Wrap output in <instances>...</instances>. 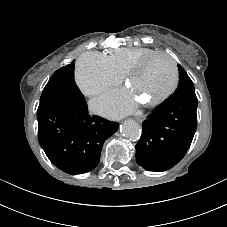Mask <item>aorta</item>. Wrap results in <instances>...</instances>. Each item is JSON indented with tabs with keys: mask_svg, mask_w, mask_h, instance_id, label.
<instances>
[{
	"mask_svg": "<svg viewBox=\"0 0 227 227\" xmlns=\"http://www.w3.org/2000/svg\"><path fill=\"white\" fill-rule=\"evenodd\" d=\"M121 132L126 138L133 141L138 140L141 136L139 124L132 119H127L123 122L121 125Z\"/></svg>",
	"mask_w": 227,
	"mask_h": 227,
	"instance_id": "aorta-1",
	"label": "aorta"
}]
</instances>
